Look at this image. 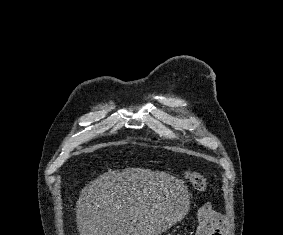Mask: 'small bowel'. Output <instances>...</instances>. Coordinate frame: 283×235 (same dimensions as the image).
Listing matches in <instances>:
<instances>
[{
    "instance_id": "obj_1",
    "label": "small bowel",
    "mask_w": 283,
    "mask_h": 235,
    "mask_svg": "<svg viewBox=\"0 0 283 235\" xmlns=\"http://www.w3.org/2000/svg\"><path fill=\"white\" fill-rule=\"evenodd\" d=\"M198 220L195 235H221L224 218L213 209L211 204L201 207Z\"/></svg>"
}]
</instances>
